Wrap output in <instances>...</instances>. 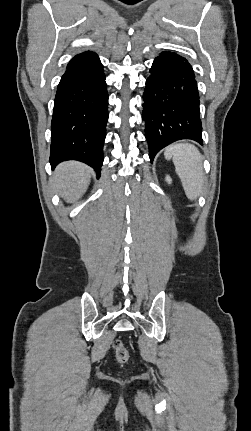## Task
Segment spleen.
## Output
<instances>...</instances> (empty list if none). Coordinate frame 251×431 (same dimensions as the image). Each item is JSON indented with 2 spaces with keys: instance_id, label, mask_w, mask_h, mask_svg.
Listing matches in <instances>:
<instances>
[{
  "instance_id": "1",
  "label": "spleen",
  "mask_w": 251,
  "mask_h": 431,
  "mask_svg": "<svg viewBox=\"0 0 251 431\" xmlns=\"http://www.w3.org/2000/svg\"><path fill=\"white\" fill-rule=\"evenodd\" d=\"M164 156L166 159L172 158L186 196L190 200L196 199L204 183L202 156L199 150L192 144L178 143L167 147Z\"/></svg>"
}]
</instances>
